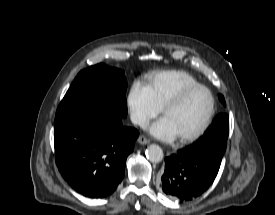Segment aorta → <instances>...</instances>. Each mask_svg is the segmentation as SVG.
Returning <instances> with one entry per match:
<instances>
[{
	"mask_svg": "<svg viewBox=\"0 0 275 215\" xmlns=\"http://www.w3.org/2000/svg\"><path fill=\"white\" fill-rule=\"evenodd\" d=\"M146 157L153 163H159L163 159V150L156 144H151L146 150Z\"/></svg>",
	"mask_w": 275,
	"mask_h": 215,
	"instance_id": "1",
	"label": "aorta"
}]
</instances>
